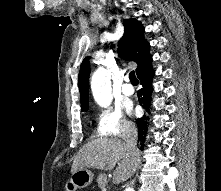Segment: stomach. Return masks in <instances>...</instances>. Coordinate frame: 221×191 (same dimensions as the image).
<instances>
[{"label":"stomach","mask_w":221,"mask_h":191,"mask_svg":"<svg viewBox=\"0 0 221 191\" xmlns=\"http://www.w3.org/2000/svg\"><path fill=\"white\" fill-rule=\"evenodd\" d=\"M94 174L87 168L76 170L65 184V191H75L89 186L93 181Z\"/></svg>","instance_id":"1"}]
</instances>
